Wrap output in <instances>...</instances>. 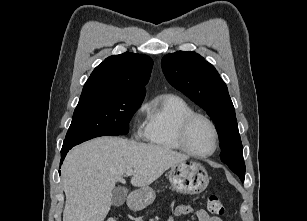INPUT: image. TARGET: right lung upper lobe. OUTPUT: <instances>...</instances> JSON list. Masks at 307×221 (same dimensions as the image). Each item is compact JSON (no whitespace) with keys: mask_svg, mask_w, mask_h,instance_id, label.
I'll return each instance as SVG.
<instances>
[{"mask_svg":"<svg viewBox=\"0 0 307 221\" xmlns=\"http://www.w3.org/2000/svg\"><path fill=\"white\" fill-rule=\"evenodd\" d=\"M152 66V59L143 54L125 52L110 56L93 70L79 102L111 95L144 97Z\"/></svg>","mask_w":307,"mask_h":221,"instance_id":"obj_1","label":"right lung upper lobe"}]
</instances>
